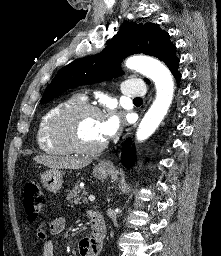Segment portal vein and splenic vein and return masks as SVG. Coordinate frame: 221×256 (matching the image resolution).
I'll return each instance as SVG.
<instances>
[{"instance_id": "portal-vein-and-splenic-vein-1", "label": "portal vein and splenic vein", "mask_w": 221, "mask_h": 256, "mask_svg": "<svg viewBox=\"0 0 221 256\" xmlns=\"http://www.w3.org/2000/svg\"><path fill=\"white\" fill-rule=\"evenodd\" d=\"M88 200H89L90 202H94V201H95V197H94L93 195H89V196H88Z\"/></svg>"}]
</instances>
